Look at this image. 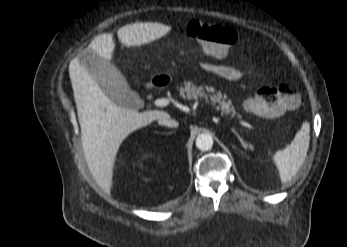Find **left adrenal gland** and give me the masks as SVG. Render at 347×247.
<instances>
[{
	"instance_id": "left-adrenal-gland-1",
	"label": "left adrenal gland",
	"mask_w": 347,
	"mask_h": 247,
	"mask_svg": "<svg viewBox=\"0 0 347 247\" xmlns=\"http://www.w3.org/2000/svg\"><path fill=\"white\" fill-rule=\"evenodd\" d=\"M232 132L237 136V138L239 139V141L241 142L242 146L247 149V144L244 142V140L241 138V136L238 134V132L234 129L231 128Z\"/></svg>"
}]
</instances>
